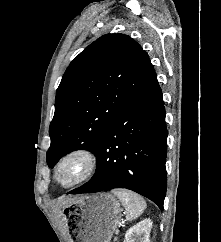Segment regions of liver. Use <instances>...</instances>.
Wrapping results in <instances>:
<instances>
[{
  "label": "liver",
  "mask_w": 221,
  "mask_h": 242,
  "mask_svg": "<svg viewBox=\"0 0 221 242\" xmlns=\"http://www.w3.org/2000/svg\"><path fill=\"white\" fill-rule=\"evenodd\" d=\"M71 200H66V201H63L61 202L60 204V207L63 205V206H66Z\"/></svg>",
  "instance_id": "obj_1"
}]
</instances>
